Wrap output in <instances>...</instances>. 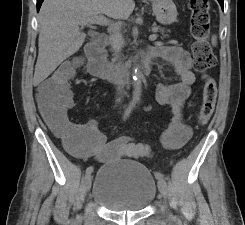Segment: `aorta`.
<instances>
[{"mask_svg":"<svg viewBox=\"0 0 245 225\" xmlns=\"http://www.w3.org/2000/svg\"><path fill=\"white\" fill-rule=\"evenodd\" d=\"M142 72L139 65L134 66L133 68V96L132 99L134 102H138L141 99L142 94Z\"/></svg>","mask_w":245,"mask_h":225,"instance_id":"762f6f07","label":"aorta"}]
</instances>
